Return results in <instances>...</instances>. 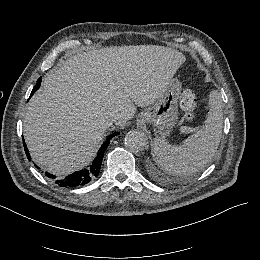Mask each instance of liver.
I'll list each match as a JSON object with an SVG mask.
<instances>
[{
	"label": "liver",
	"mask_w": 260,
	"mask_h": 260,
	"mask_svg": "<svg viewBox=\"0 0 260 260\" xmlns=\"http://www.w3.org/2000/svg\"><path fill=\"white\" fill-rule=\"evenodd\" d=\"M158 45L104 47L77 53L52 69L30 99L23 135L32 159L60 176L95 156L111 114L125 126L137 107L153 104L185 62Z\"/></svg>",
	"instance_id": "6515ba94"
}]
</instances>
